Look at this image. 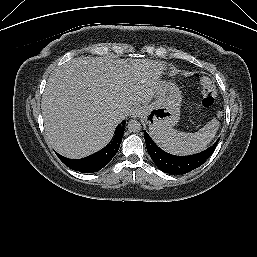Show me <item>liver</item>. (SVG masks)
Wrapping results in <instances>:
<instances>
[{
  "mask_svg": "<svg viewBox=\"0 0 257 257\" xmlns=\"http://www.w3.org/2000/svg\"><path fill=\"white\" fill-rule=\"evenodd\" d=\"M165 64L151 59L78 57L48 78L42 97L46 136L68 158L86 157L113 138L136 104L155 96Z\"/></svg>",
  "mask_w": 257,
  "mask_h": 257,
  "instance_id": "liver-1",
  "label": "liver"
}]
</instances>
